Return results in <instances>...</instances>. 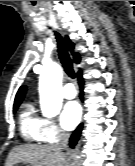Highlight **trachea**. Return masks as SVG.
Returning <instances> with one entry per match:
<instances>
[{"label":"trachea","instance_id":"trachea-1","mask_svg":"<svg viewBox=\"0 0 135 166\" xmlns=\"http://www.w3.org/2000/svg\"><path fill=\"white\" fill-rule=\"evenodd\" d=\"M54 34H55V37L57 40L58 55H59L60 61L62 63V66L69 77L75 78L73 64H72L71 58L68 54V51L66 49V46L64 44V41L58 33L55 32Z\"/></svg>","mask_w":135,"mask_h":166}]
</instances>
